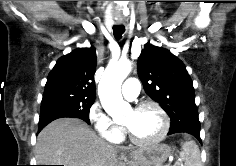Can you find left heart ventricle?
I'll use <instances>...</instances> for the list:
<instances>
[{
  "label": "left heart ventricle",
  "mask_w": 236,
  "mask_h": 166,
  "mask_svg": "<svg viewBox=\"0 0 236 166\" xmlns=\"http://www.w3.org/2000/svg\"><path fill=\"white\" fill-rule=\"evenodd\" d=\"M123 125L140 140H150L158 136L162 130V118L152 107L139 112L131 110L125 117Z\"/></svg>",
  "instance_id": "left-heart-ventricle-1"
}]
</instances>
